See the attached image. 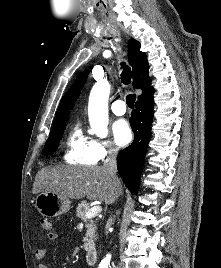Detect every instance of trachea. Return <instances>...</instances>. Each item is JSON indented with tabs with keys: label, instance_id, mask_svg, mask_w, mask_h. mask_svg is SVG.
<instances>
[{
	"label": "trachea",
	"instance_id": "obj_1",
	"mask_svg": "<svg viewBox=\"0 0 221 268\" xmlns=\"http://www.w3.org/2000/svg\"><path fill=\"white\" fill-rule=\"evenodd\" d=\"M121 67L123 68V71L121 73V81L125 85H128L131 82V69L129 66L125 65V63L123 62L121 63ZM135 100H136V95L134 94L127 95L126 103L128 107H130L131 109L134 108Z\"/></svg>",
	"mask_w": 221,
	"mask_h": 268
}]
</instances>
